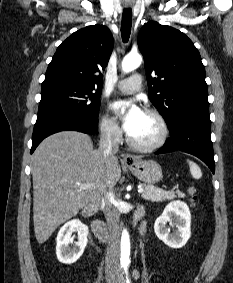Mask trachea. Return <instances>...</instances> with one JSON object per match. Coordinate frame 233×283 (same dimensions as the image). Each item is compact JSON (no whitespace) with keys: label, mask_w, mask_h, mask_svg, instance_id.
<instances>
[{"label":"trachea","mask_w":233,"mask_h":283,"mask_svg":"<svg viewBox=\"0 0 233 283\" xmlns=\"http://www.w3.org/2000/svg\"><path fill=\"white\" fill-rule=\"evenodd\" d=\"M132 26V10L125 8L123 10L122 22H121V36L124 43L128 42Z\"/></svg>","instance_id":"1"}]
</instances>
